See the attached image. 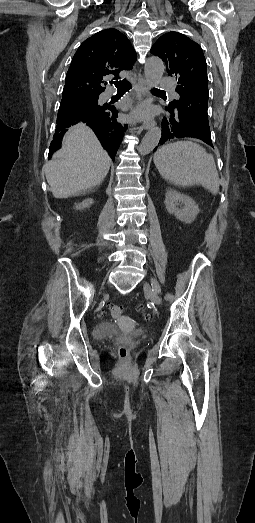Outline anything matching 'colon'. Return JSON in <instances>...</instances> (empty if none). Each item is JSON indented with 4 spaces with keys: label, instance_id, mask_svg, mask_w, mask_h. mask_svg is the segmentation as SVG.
<instances>
[{
    "label": "colon",
    "instance_id": "5ec220e1",
    "mask_svg": "<svg viewBox=\"0 0 255 523\" xmlns=\"http://www.w3.org/2000/svg\"><path fill=\"white\" fill-rule=\"evenodd\" d=\"M124 307H121V306H117V305H114L111 307L110 311H111V314L114 316V317H119L121 316L123 313H124ZM139 310H143L142 306H139ZM118 353L121 357H126L127 356V347L124 345V344H121L119 347H118Z\"/></svg>",
    "mask_w": 255,
    "mask_h": 523
}]
</instances>
